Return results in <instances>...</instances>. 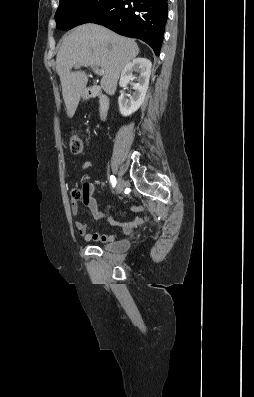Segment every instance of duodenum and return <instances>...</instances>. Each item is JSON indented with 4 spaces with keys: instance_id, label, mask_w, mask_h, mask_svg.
<instances>
[{
    "instance_id": "obj_1",
    "label": "duodenum",
    "mask_w": 254,
    "mask_h": 397,
    "mask_svg": "<svg viewBox=\"0 0 254 397\" xmlns=\"http://www.w3.org/2000/svg\"><path fill=\"white\" fill-rule=\"evenodd\" d=\"M85 94L89 98H98L99 100V114L100 118L104 120L107 117L109 111V99L102 92L98 86H90L86 89Z\"/></svg>"
}]
</instances>
